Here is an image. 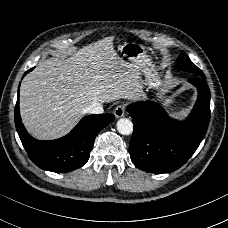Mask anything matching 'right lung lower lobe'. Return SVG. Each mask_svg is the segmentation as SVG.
<instances>
[{
    "mask_svg": "<svg viewBox=\"0 0 228 228\" xmlns=\"http://www.w3.org/2000/svg\"><path fill=\"white\" fill-rule=\"evenodd\" d=\"M113 119V114L89 115L81 119L68 135L53 141H39L28 134L21 122L18 90L15 106L16 129L30 159L44 170L64 173L85 165L96 135Z\"/></svg>",
    "mask_w": 228,
    "mask_h": 228,
    "instance_id": "1",
    "label": "right lung lower lobe"
}]
</instances>
